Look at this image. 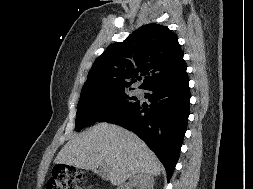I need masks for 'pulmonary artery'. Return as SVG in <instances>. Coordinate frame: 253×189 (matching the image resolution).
Here are the masks:
<instances>
[{
	"instance_id": "pulmonary-artery-1",
	"label": "pulmonary artery",
	"mask_w": 253,
	"mask_h": 189,
	"mask_svg": "<svg viewBox=\"0 0 253 189\" xmlns=\"http://www.w3.org/2000/svg\"><path fill=\"white\" fill-rule=\"evenodd\" d=\"M136 94H140V91H136Z\"/></svg>"
}]
</instances>
